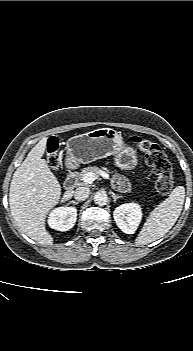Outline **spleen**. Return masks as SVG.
<instances>
[{
  "instance_id": "3e777b00",
  "label": "spleen",
  "mask_w": 193,
  "mask_h": 351,
  "mask_svg": "<svg viewBox=\"0 0 193 351\" xmlns=\"http://www.w3.org/2000/svg\"><path fill=\"white\" fill-rule=\"evenodd\" d=\"M185 199V188L177 186L167 199L161 202L150 213L135 243L143 245L162 238L179 218Z\"/></svg>"
}]
</instances>
